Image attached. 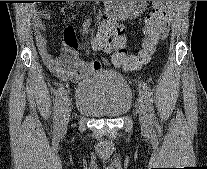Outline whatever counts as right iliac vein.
I'll return each instance as SVG.
<instances>
[{"label": "right iliac vein", "mask_w": 207, "mask_h": 169, "mask_svg": "<svg viewBox=\"0 0 207 169\" xmlns=\"http://www.w3.org/2000/svg\"><path fill=\"white\" fill-rule=\"evenodd\" d=\"M70 100L69 98H65L64 99V106H63V111H62V115H61V119H60V129H65L68 125L69 122V117H70Z\"/></svg>", "instance_id": "obj_1"}]
</instances>
